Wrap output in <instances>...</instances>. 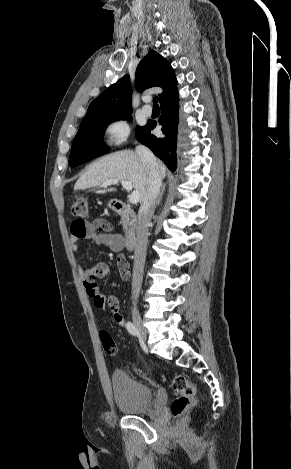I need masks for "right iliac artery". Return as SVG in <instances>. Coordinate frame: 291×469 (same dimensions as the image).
<instances>
[{
    "instance_id": "82829eb1",
    "label": "right iliac artery",
    "mask_w": 291,
    "mask_h": 469,
    "mask_svg": "<svg viewBox=\"0 0 291 469\" xmlns=\"http://www.w3.org/2000/svg\"><path fill=\"white\" fill-rule=\"evenodd\" d=\"M126 328L130 334L136 336L138 334L137 328L131 322L126 323Z\"/></svg>"
}]
</instances>
